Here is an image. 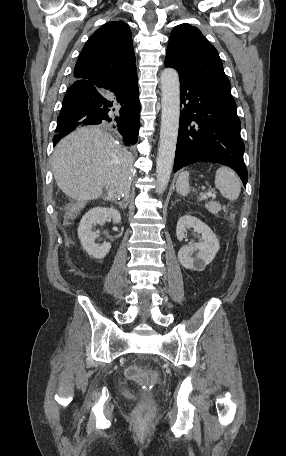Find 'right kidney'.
Masks as SVG:
<instances>
[{"label": "right kidney", "instance_id": "1", "mask_svg": "<svg viewBox=\"0 0 286 456\" xmlns=\"http://www.w3.org/2000/svg\"><path fill=\"white\" fill-rule=\"evenodd\" d=\"M108 219L114 223L121 222L119 211L114 208L95 207L89 210L81 219L78 227V237L84 250L95 259L104 258L111 249L110 243L99 245L95 243L98 233L92 231L94 225H103Z\"/></svg>", "mask_w": 286, "mask_h": 456}]
</instances>
